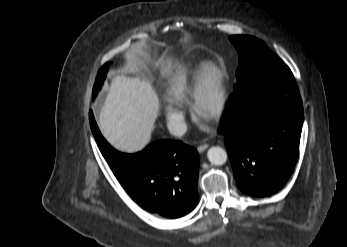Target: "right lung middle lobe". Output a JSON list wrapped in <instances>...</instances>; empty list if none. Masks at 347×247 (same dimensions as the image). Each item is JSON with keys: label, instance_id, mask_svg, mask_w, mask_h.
Listing matches in <instances>:
<instances>
[{"label": "right lung middle lobe", "instance_id": "dd1d6c3e", "mask_svg": "<svg viewBox=\"0 0 347 247\" xmlns=\"http://www.w3.org/2000/svg\"><path fill=\"white\" fill-rule=\"evenodd\" d=\"M106 72H107V63L100 69L99 73H98V76H97V79H96V82H95V86H94V96L96 95V93L100 90L102 84H103V81L105 79V76H106Z\"/></svg>", "mask_w": 347, "mask_h": 247}]
</instances>
